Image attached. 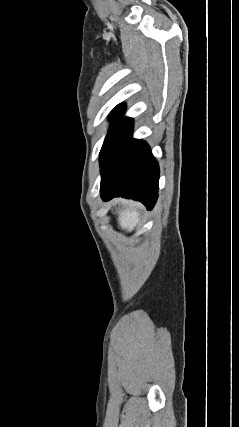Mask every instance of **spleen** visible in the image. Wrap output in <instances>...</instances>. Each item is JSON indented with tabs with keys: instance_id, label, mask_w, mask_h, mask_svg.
Returning a JSON list of instances; mask_svg holds the SVG:
<instances>
[{
	"instance_id": "spleen-1",
	"label": "spleen",
	"mask_w": 239,
	"mask_h": 427,
	"mask_svg": "<svg viewBox=\"0 0 239 427\" xmlns=\"http://www.w3.org/2000/svg\"><path fill=\"white\" fill-rule=\"evenodd\" d=\"M118 222L122 229L131 232L140 222V213L135 205L118 213Z\"/></svg>"
}]
</instances>
